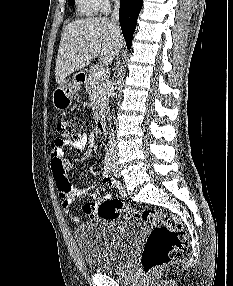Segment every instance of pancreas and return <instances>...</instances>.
<instances>
[{
	"mask_svg": "<svg viewBox=\"0 0 233 286\" xmlns=\"http://www.w3.org/2000/svg\"><path fill=\"white\" fill-rule=\"evenodd\" d=\"M85 88L89 93L94 116L97 118L107 102V80L96 78L92 70L88 74Z\"/></svg>",
	"mask_w": 233,
	"mask_h": 286,
	"instance_id": "obj_1",
	"label": "pancreas"
}]
</instances>
